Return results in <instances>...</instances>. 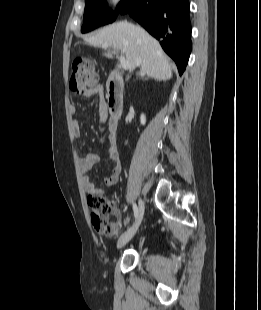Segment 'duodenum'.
Masks as SVG:
<instances>
[{
  "label": "duodenum",
  "mask_w": 261,
  "mask_h": 310,
  "mask_svg": "<svg viewBox=\"0 0 261 310\" xmlns=\"http://www.w3.org/2000/svg\"><path fill=\"white\" fill-rule=\"evenodd\" d=\"M107 105L110 128L115 132L121 114L124 82L118 70H112L107 80Z\"/></svg>",
  "instance_id": "410a0bca"
}]
</instances>
